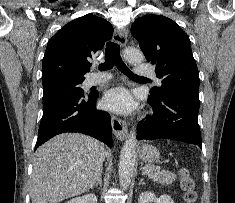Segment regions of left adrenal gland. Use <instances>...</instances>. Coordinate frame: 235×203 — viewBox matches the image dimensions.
I'll return each instance as SVG.
<instances>
[{
  "instance_id": "obj_1",
  "label": "left adrenal gland",
  "mask_w": 235,
  "mask_h": 203,
  "mask_svg": "<svg viewBox=\"0 0 235 203\" xmlns=\"http://www.w3.org/2000/svg\"><path fill=\"white\" fill-rule=\"evenodd\" d=\"M140 184H145L143 178H140V181H139L138 185H140Z\"/></svg>"
}]
</instances>
